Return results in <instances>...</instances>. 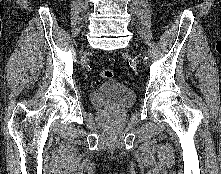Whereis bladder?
Segmentation results:
<instances>
[{"instance_id": "bladder-1", "label": "bladder", "mask_w": 221, "mask_h": 174, "mask_svg": "<svg viewBox=\"0 0 221 174\" xmlns=\"http://www.w3.org/2000/svg\"><path fill=\"white\" fill-rule=\"evenodd\" d=\"M136 99L135 92L122 82L107 80L90 93V101L96 107H129Z\"/></svg>"}]
</instances>
